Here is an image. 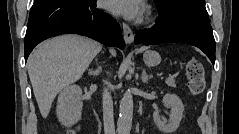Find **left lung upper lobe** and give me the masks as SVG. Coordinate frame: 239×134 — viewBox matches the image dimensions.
<instances>
[{
    "instance_id": "1",
    "label": "left lung upper lobe",
    "mask_w": 239,
    "mask_h": 134,
    "mask_svg": "<svg viewBox=\"0 0 239 134\" xmlns=\"http://www.w3.org/2000/svg\"><path fill=\"white\" fill-rule=\"evenodd\" d=\"M180 0H155L160 14L166 13L170 8L173 7Z\"/></svg>"
}]
</instances>
